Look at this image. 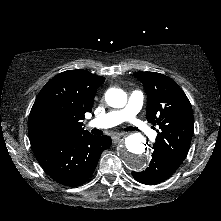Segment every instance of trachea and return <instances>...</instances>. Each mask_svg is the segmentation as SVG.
I'll list each match as a JSON object with an SVG mask.
<instances>
[{
    "label": "trachea",
    "instance_id": "trachea-1",
    "mask_svg": "<svg viewBox=\"0 0 221 221\" xmlns=\"http://www.w3.org/2000/svg\"><path fill=\"white\" fill-rule=\"evenodd\" d=\"M127 130H128V131H135V130L138 131V129L135 128V127H128ZM92 133L95 134V135H101V134H102V131L99 130V129H93V130H92Z\"/></svg>",
    "mask_w": 221,
    "mask_h": 221
}]
</instances>
